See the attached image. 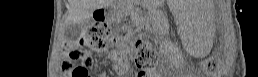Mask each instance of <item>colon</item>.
Here are the masks:
<instances>
[{"label": "colon", "mask_w": 258, "mask_h": 77, "mask_svg": "<svg viewBox=\"0 0 258 77\" xmlns=\"http://www.w3.org/2000/svg\"><path fill=\"white\" fill-rule=\"evenodd\" d=\"M110 36V30L104 22H97L87 27L81 36V44L91 50L98 51L104 48L106 40ZM136 65L139 70L151 71L157 65V55L149 44L138 41L135 45ZM91 61L86 54L79 49L70 48L66 51L65 59L62 62V72L67 77H87ZM218 67V60L210 57L203 62L206 72L214 71Z\"/></svg>", "instance_id": "colon-1"}]
</instances>
